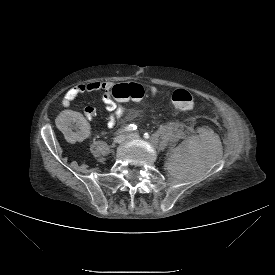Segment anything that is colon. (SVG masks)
<instances>
[{
    "instance_id": "obj_1",
    "label": "colon",
    "mask_w": 275,
    "mask_h": 275,
    "mask_svg": "<svg viewBox=\"0 0 275 275\" xmlns=\"http://www.w3.org/2000/svg\"><path fill=\"white\" fill-rule=\"evenodd\" d=\"M112 95L119 100L141 101L146 97V90L140 84H120L113 88ZM171 98L173 104L181 111H189L196 106L200 110L206 108L205 103L196 104L193 95L184 89L176 90Z\"/></svg>"
}]
</instances>
